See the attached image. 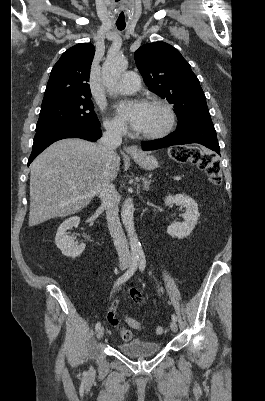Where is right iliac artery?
I'll use <instances>...</instances> for the list:
<instances>
[{
    "label": "right iliac artery",
    "instance_id": "1",
    "mask_svg": "<svg viewBox=\"0 0 265 401\" xmlns=\"http://www.w3.org/2000/svg\"><path fill=\"white\" fill-rule=\"evenodd\" d=\"M137 267H138V257L133 256L129 269L122 276H120L118 278V280L115 282L114 286H119L120 284L126 282L130 277L133 276ZM100 327H101V323L97 322L95 325V329L98 330Z\"/></svg>",
    "mask_w": 265,
    "mask_h": 401
}]
</instances>
